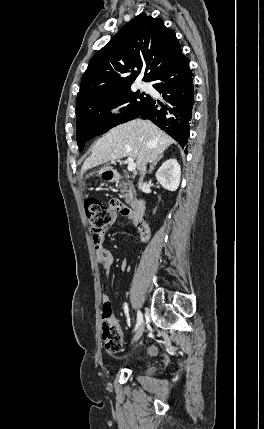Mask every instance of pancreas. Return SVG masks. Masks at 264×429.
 Returning <instances> with one entry per match:
<instances>
[{"mask_svg":"<svg viewBox=\"0 0 264 429\" xmlns=\"http://www.w3.org/2000/svg\"><path fill=\"white\" fill-rule=\"evenodd\" d=\"M119 188L121 190V193L124 194L125 202L127 204H129V205L133 204V202H134V193H135L133 185L130 182L122 181L119 184Z\"/></svg>","mask_w":264,"mask_h":429,"instance_id":"1","label":"pancreas"}]
</instances>
